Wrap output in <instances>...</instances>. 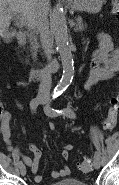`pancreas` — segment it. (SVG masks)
<instances>
[{"label": "pancreas", "mask_w": 119, "mask_h": 185, "mask_svg": "<svg viewBox=\"0 0 119 185\" xmlns=\"http://www.w3.org/2000/svg\"><path fill=\"white\" fill-rule=\"evenodd\" d=\"M86 28V25H83L82 19L78 18V24L75 28V31H83ZM30 47L32 50V58L36 59L37 50L39 48V44L37 42L36 37L32 36L30 37Z\"/></svg>", "instance_id": "1"}]
</instances>
